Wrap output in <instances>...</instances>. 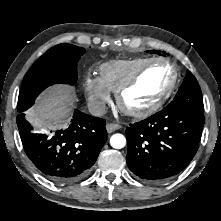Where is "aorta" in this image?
I'll return each instance as SVG.
<instances>
[{
	"instance_id": "aorta-1",
	"label": "aorta",
	"mask_w": 221,
	"mask_h": 221,
	"mask_svg": "<svg viewBox=\"0 0 221 221\" xmlns=\"http://www.w3.org/2000/svg\"><path fill=\"white\" fill-rule=\"evenodd\" d=\"M110 145L115 149H121L126 145V138L120 134H114L110 138Z\"/></svg>"
}]
</instances>
